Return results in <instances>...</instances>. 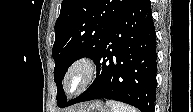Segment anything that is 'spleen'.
Returning <instances> with one entry per match:
<instances>
[{
	"mask_svg": "<svg viewBox=\"0 0 193 112\" xmlns=\"http://www.w3.org/2000/svg\"><path fill=\"white\" fill-rule=\"evenodd\" d=\"M106 105L110 107L113 112H138L134 107L113 100L106 101Z\"/></svg>",
	"mask_w": 193,
	"mask_h": 112,
	"instance_id": "1",
	"label": "spleen"
}]
</instances>
